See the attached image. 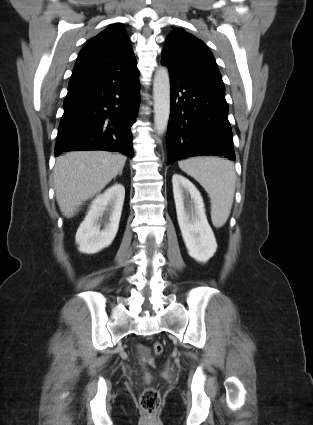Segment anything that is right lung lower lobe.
I'll list each match as a JSON object with an SVG mask.
<instances>
[{
	"instance_id": "right-lung-lower-lobe-1",
	"label": "right lung lower lobe",
	"mask_w": 313,
	"mask_h": 425,
	"mask_svg": "<svg viewBox=\"0 0 313 425\" xmlns=\"http://www.w3.org/2000/svg\"><path fill=\"white\" fill-rule=\"evenodd\" d=\"M138 69L119 66L74 69L64 101L55 156L82 149L132 157L130 128L139 104Z\"/></svg>"
}]
</instances>
